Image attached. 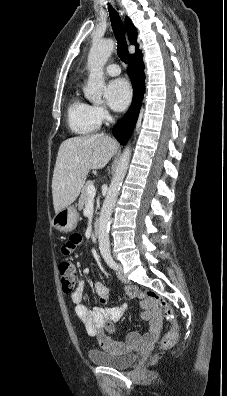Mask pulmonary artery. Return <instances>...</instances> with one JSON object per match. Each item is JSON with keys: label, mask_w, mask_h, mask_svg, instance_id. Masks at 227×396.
<instances>
[{"label": "pulmonary artery", "mask_w": 227, "mask_h": 396, "mask_svg": "<svg viewBox=\"0 0 227 396\" xmlns=\"http://www.w3.org/2000/svg\"><path fill=\"white\" fill-rule=\"evenodd\" d=\"M106 72L111 76L119 75L121 70L117 64H109L105 68Z\"/></svg>", "instance_id": "e3ab8cb5"}]
</instances>
